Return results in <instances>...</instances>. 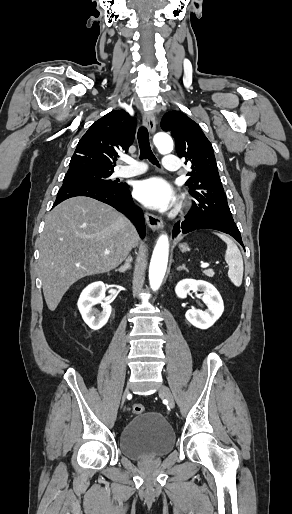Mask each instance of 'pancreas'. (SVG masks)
I'll use <instances>...</instances> for the list:
<instances>
[{"label":"pancreas","mask_w":292,"mask_h":514,"mask_svg":"<svg viewBox=\"0 0 292 514\" xmlns=\"http://www.w3.org/2000/svg\"><path fill=\"white\" fill-rule=\"evenodd\" d=\"M204 274H206V276H209V278H213V276H214V272H208V270H206V272H204Z\"/></svg>","instance_id":"obj_1"}]
</instances>
